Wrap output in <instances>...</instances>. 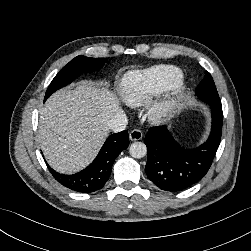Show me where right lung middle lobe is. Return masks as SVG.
Returning <instances> with one entry per match:
<instances>
[{"mask_svg":"<svg viewBox=\"0 0 251 251\" xmlns=\"http://www.w3.org/2000/svg\"><path fill=\"white\" fill-rule=\"evenodd\" d=\"M104 61V58L75 57L54 77L46 91L44 101L56 90L70 84L79 74L101 69Z\"/></svg>","mask_w":251,"mask_h":251,"instance_id":"1","label":"right lung middle lobe"}]
</instances>
